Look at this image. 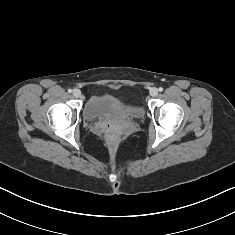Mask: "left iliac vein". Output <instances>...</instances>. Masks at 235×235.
Listing matches in <instances>:
<instances>
[{"label":"left iliac vein","instance_id":"left-iliac-vein-1","mask_svg":"<svg viewBox=\"0 0 235 235\" xmlns=\"http://www.w3.org/2000/svg\"><path fill=\"white\" fill-rule=\"evenodd\" d=\"M157 94H158V89L157 88H152L151 90H150V95L152 96V97H155V96H157Z\"/></svg>","mask_w":235,"mask_h":235}]
</instances>
